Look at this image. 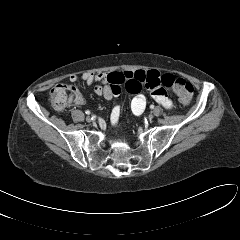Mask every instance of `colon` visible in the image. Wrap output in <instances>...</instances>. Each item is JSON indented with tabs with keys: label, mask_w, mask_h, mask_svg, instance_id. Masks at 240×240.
I'll use <instances>...</instances> for the list:
<instances>
[{
	"label": "colon",
	"mask_w": 240,
	"mask_h": 240,
	"mask_svg": "<svg viewBox=\"0 0 240 240\" xmlns=\"http://www.w3.org/2000/svg\"><path fill=\"white\" fill-rule=\"evenodd\" d=\"M162 83L167 88H172L178 99L187 104L193 95V86L190 82L176 78L172 74L162 76ZM77 89L70 85L59 84L52 88L48 94V100L56 110H63L75 96Z\"/></svg>",
	"instance_id": "1"
}]
</instances>
